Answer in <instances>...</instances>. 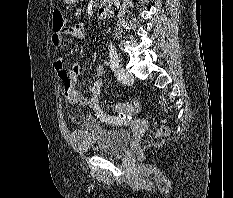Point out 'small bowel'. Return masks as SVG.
Here are the masks:
<instances>
[{
	"label": "small bowel",
	"mask_w": 233,
	"mask_h": 198,
	"mask_svg": "<svg viewBox=\"0 0 233 198\" xmlns=\"http://www.w3.org/2000/svg\"><path fill=\"white\" fill-rule=\"evenodd\" d=\"M65 35H71L74 38L82 39L85 37V25L81 22L75 23L71 26H65L60 32H54L51 35V42L54 46L59 47L63 44ZM53 68L63 84V94L65 100L73 105H81L87 107H94L95 115L101 120H107L106 115L98 106V99L103 88V74L102 66L96 67L97 79H95L88 86V96L83 95L77 88V80L81 73V65L73 62L69 68L64 66V61L57 58L53 63Z\"/></svg>",
	"instance_id": "small-bowel-1"
}]
</instances>
